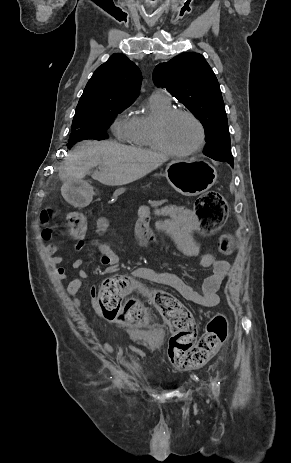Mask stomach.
Returning a JSON list of instances; mask_svg holds the SVG:
<instances>
[{"instance_id": "stomach-1", "label": "stomach", "mask_w": 291, "mask_h": 463, "mask_svg": "<svg viewBox=\"0 0 291 463\" xmlns=\"http://www.w3.org/2000/svg\"><path fill=\"white\" fill-rule=\"evenodd\" d=\"M166 178L179 193L197 196L215 184L217 171L206 161L175 159L166 167ZM61 191L63 197L74 206H84L92 199L90 189L83 183H65Z\"/></svg>"}]
</instances>
